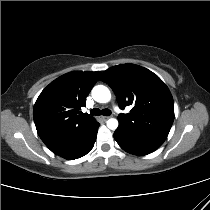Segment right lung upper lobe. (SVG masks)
<instances>
[{
    "instance_id": "right-lung-upper-lobe-1",
    "label": "right lung upper lobe",
    "mask_w": 210,
    "mask_h": 210,
    "mask_svg": "<svg viewBox=\"0 0 210 210\" xmlns=\"http://www.w3.org/2000/svg\"><path fill=\"white\" fill-rule=\"evenodd\" d=\"M100 72L75 71L51 82L39 95L33 110L38 135L58 153L87 135L98 123L91 116L78 115Z\"/></svg>"
}]
</instances>
